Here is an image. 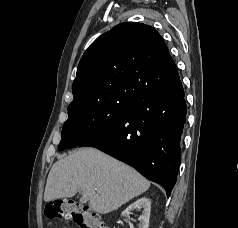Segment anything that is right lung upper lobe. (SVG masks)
<instances>
[{"label":"right lung upper lobe","instance_id":"cb5924a9","mask_svg":"<svg viewBox=\"0 0 238 228\" xmlns=\"http://www.w3.org/2000/svg\"><path fill=\"white\" fill-rule=\"evenodd\" d=\"M179 80L169 50L154 28L121 23L99 36L83 54L68 113L97 104H129Z\"/></svg>","mask_w":238,"mask_h":228}]
</instances>
